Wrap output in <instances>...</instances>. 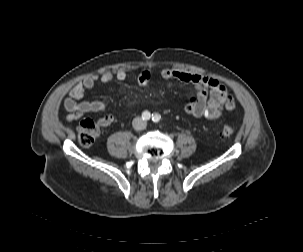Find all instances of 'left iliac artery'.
Instances as JSON below:
<instances>
[{"label": "left iliac artery", "instance_id": "left-iliac-artery-1", "mask_svg": "<svg viewBox=\"0 0 303 252\" xmlns=\"http://www.w3.org/2000/svg\"><path fill=\"white\" fill-rule=\"evenodd\" d=\"M160 118H161V116L159 114H153L152 115V120L155 123L159 122Z\"/></svg>", "mask_w": 303, "mask_h": 252}]
</instances>
